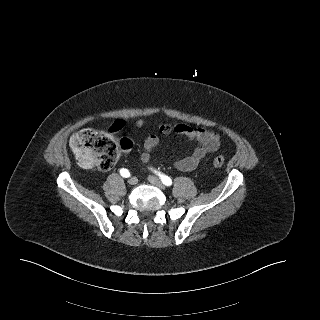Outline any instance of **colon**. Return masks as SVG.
<instances>
[{
	"label": "colon",
	"mask_w": 320,
	"mask_h": 320,
	"mask_svg": "<svg viewBox=\"0 0 320 320\" xmlns=\"http://www.w3.org/2000/svg\"><path fill=\"white\" fill-rule=\"evenodd\" d=\"M119 124L114 123L109 131L97 129H83L72 135L70 146L77 154L79 161L86 166L108 170L117 162L120 152L131 149L132 142L127 138L118 141L113 133ZM213 164L221 168L224 158L220 155L213 159Z\"/></svg>",
	"instance_id": "1"
}]
</instances>
